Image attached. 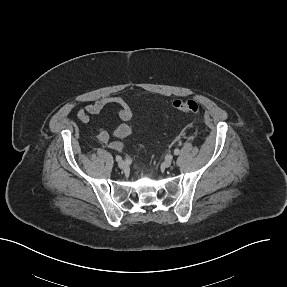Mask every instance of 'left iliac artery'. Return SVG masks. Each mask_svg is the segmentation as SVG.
<instances>
[{
  "label": "left iliac artery",
  "mask_w": 287,
  "mask_h": 287,
  "mask_svg": "<svg viewBox=\"0 0 287 287\" xmlns=\"http://www.w3.org/2000/svg\"><path fill=\"white\" fill-rule=\"evenodd\" d=\"M179 153H180L179 149H175V150H174V154H175V155H178Z\"/></svg>",
  "instance_id": "44dca946"
}]
</instances>
